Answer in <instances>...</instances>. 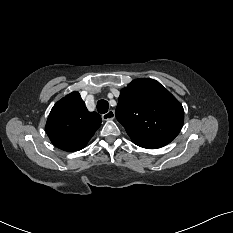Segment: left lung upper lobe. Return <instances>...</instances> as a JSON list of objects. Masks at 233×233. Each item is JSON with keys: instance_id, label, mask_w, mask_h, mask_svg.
I'll return each instance as SVG.
<instances>
[{"instance_id": "5c2ea615", "label": "left lung upper lobe", "mask_w": 233, "mask_h": 233, "mask_svg": "<svg viewBox=\"0 0 233 233\" xmlns=\"http://www.w3.org/2000/svg\"><path fill=\"white\" fill-rule=\"evenodd\" d=\"M116 117L133 143L160 148L180 132L184 110L178 100L153 79H136L121 90Z\"/></svg>"}]
</instances>
